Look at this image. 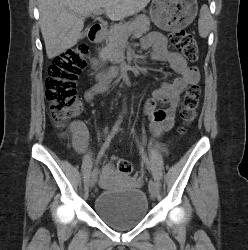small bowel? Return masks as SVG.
Here are the masks:
<instances>
[{"label":"small bowel","instance_id":"small-bowel-1","mask_svg":"<svg viewBox=\"0 0 248 250\" xmlns=\"http://www.w3.org/2000/svg\"><path fill=\"white\" fill-rule=\"evenodd\" d=\"M142 50H150L151 58L159 62H167L179 76L169 82H164L153 93L143 106L144 112L150 121V130L154 136L159 137L174 126L176 111L180 102V95L185 88L198 83L200 76L197 67L189 65L186 59L178 52L168 48L167 38L159 32H150L144 36L141 42ZM106 84L97 82L85 93V100L92 101L95 95L101 93ZM72 143L75 150L83 153L88 145V131L81 121L71 124ZM158 147L163 153L167 149L163 144ZM114 172L112 165L107 164L102 170V183H107L110 175Z\"/></svg>","mask_w":248,"mask_h":250}]
</instances>
